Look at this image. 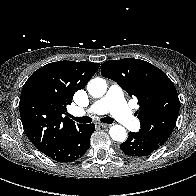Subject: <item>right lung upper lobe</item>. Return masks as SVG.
<instances>
[{
    "instance_id": "obj_1",
    "label": "right lung upper lobe",
    "mask_w": 196,
    "mask_h": 196,
    "mask_svg": "<svg viewBox=\"0 0 196 196\" xmlns=\"http://www.w3.org/2000/svg\"><path fill=\"white\" fill-rule=\"evenodd\" d=\"M100 64L58 61L36 70L23 86L19 110L26 136L41 152L78 126L67 117L66 106L83 89Z\"/></svg>"
}]
</instances>
